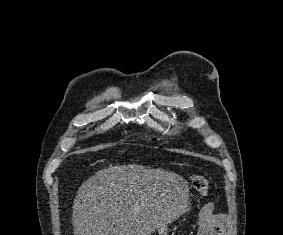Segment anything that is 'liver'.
<instances>
[{"mask_svg":"<svg viewBox=\"0 0 283 235\" xmlns=\"http://www.w3.org/2000/svg\"><path fill=\"white\" fill-rule=\"evenodd\" d=\"M188 187L175 173L136 164L96 172L74 199V235H151L177 215Z\"/></svg>","mask_w":283,"mask_h":235,"instance_id":"obj_1","label":"liver"}]
</instances>
